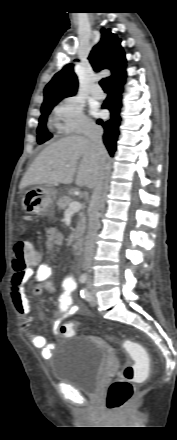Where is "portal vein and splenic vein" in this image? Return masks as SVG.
I'll return each mask as SVG.
<instances>
[{"instance_id": "portal-vein-and-splenic-vein-1", "label": "portal vein and splenic vein", "mask_w": 177, "mask_h": 440, "mask_svg": "<svg viewBox=\"0 0 177 440\" xmlns=\"http://www.w3.org/2000/svg\"><path fill=\"white\" fill-rule=\"evenodd\" d=\"M81 208H82V204L78 201H74L68 205L66 213L73 214V213L80 211Z\"/></svg>"}]
</instances>
